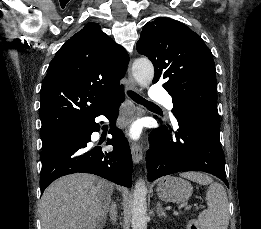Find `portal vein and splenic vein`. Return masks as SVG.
<instances>
[{
    "instance_id": "portal-vein-and-splenic-vein-1",
    "label": "portal vein and splenic vein",
    "mask_w": 261,
    "mask_h": 229,
    "mask_svg": "<svg viewBox=\"0 0 261 229\" xmlns=\"http://www.w3.org/2000/svg\"><path fill=\"white\" fill-rule=\"evenodd\" d=\"M200 204L199 203H184L181 204V209L187 210V209H191V208H199ZM179 212L178 208H175L173 211L174 217H177Z\"/></svg>"
}]
</instances>
